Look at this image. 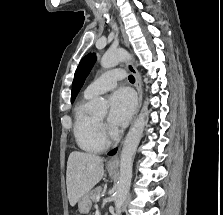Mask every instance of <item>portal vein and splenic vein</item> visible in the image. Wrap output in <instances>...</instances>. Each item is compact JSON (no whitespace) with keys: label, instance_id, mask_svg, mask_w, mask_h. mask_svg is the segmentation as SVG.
Listing matches in <instances>:
<instances>
[{"label":"portal vein and splenic vein","instance_id":"18ae733b","mask_svg":"<svg viewBox=\"0 0 223 215\" xmlns=\"http://www.w3.org/2000/svg\"><path fill=\"white\" fill-rule=\"evenodd\" d=\"M98 197H96L97 201H99V198L102 196L100 193L97 195ZM96 207H98V205H96Z\"/></svg>","mask_w":223,"mask_h":215}]
</instances>
